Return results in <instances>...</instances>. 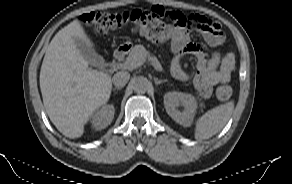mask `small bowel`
I'll use <instances>...</instances> for the list:
<instances>
[{
	"instance_id": "1",
	"label": "small bowel",
	"mask_w": 292,
	"mask_h": 184,
	"mask_svg": "<svg viewBox=\"0 0 292 184\" xmlns=\"http://www.w3.org/2000/svg\"><path fill=\"white\" fill-rule=\"evenodd\" d=\"M195 21V27L201 32L205 41L211 47L220 46L225 39L219 23L202 15L191 16ZM173 53L171 72L178 79H187L189 74L183 68V59L192 56L195 59V73L193 83L198 92L208 98L213 87L219 83H227L235 69L236 58L232 51L222 54L215 51L211 57H207L204 48L199 44L190 43L188 35L182 32L170 43Z\"/></svg>"
}]
</instances>
